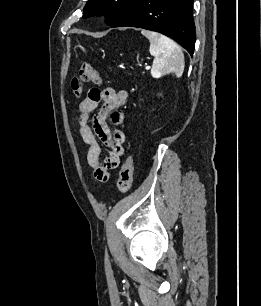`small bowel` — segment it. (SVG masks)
I'll return each mask as SVG.
<instances>
[{
  "instance_id": "small-bowel-1",
  "label": "small bowel",
  "mask_w": 261,
  "mask_h": 306,
  "mask_svg": "<svg viewBox=\"0 0 261 306\" xmlns=\"http://www.w3.org/2000/svg\"><path fill=\"white\" fill-rule=\"evenodd\" d=\"M127 98L128 94L124 90L111 87L103 90L92 88L79 104V132L88 146L87 161L98 181L109 180L110 171L117 168L124 154L125 134L118 129L110 130L107 120L115 126L122 124L123 114L120 108L127 102ZM99 142L109 150L103 161L100 158L102 149Z\"/></svg>"
}]
</instances>
